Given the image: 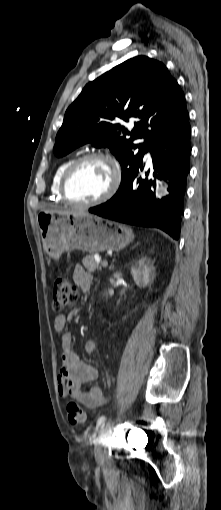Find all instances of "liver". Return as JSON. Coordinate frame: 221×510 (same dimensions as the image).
Wrapping results in <instances>:
<instances>
[{
  "label": "liver",
  "instance_id": "liver-1",
  "mask_svg": "<svg viewBox=\"0 0 221 510\" xmlns=\"http://www.w3.org/2000/svg\"><path fill=\"white\" fill-rule=\"evenodd\" d=\"M46 211H50V212H60V213H64V214H87L86 212L84 211H59V210H46Z\"/></svg>",
  "mask_w": 221,
  "mask_h": 510
}]
</instances>
